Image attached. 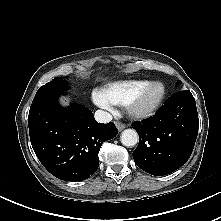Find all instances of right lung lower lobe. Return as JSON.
<instances>
[{"mask_svg": "<svg viewBox=\"0 0 221 221\" xmlns=\"http://www.w3.org/2000/svg\"><path fill=\"white\" fill-rule=\"evenodd\" d=\"M54 93L32 102L28 116L30 141L42 165L65 181L88 179L99 166L103 142L114 138V123H97L92 112L71 104L61 109Z\"/></svg>", "mask_w": 221, "mask_h": 221, "instance_id": "1", "label": "right lung lower lobe"}]
</instances>
